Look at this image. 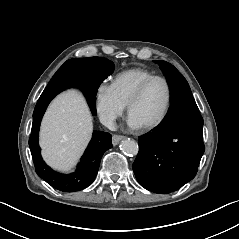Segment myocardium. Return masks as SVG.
I'll return each instance as SVG.
<instances>
[{
	"label": "myocardium",
	"mask_w": 239,
	"mask_h": 239,
	"mask_svg": "<svg viewBox=\"0 0 239 239\" xmlns=\"http://www.w3.org/2000/svg\"><path fill=\"white\" fill-rule=\"evenodd\" d=\"M163 81L166 85L167 88V101H166V105L164 108L163 113L160 115V117L155 120L152 123L146 124L142 126V129L145 131H149V130H153L157 127H159L160 125H162L164 123V121L167 119L171 107H172V101H173V92H172V87L170 82L163 76H152L148 79H146L143 83H141V85L135 90V92L132 94L128 104H127V112L129 115H131V111L133 109V107L138 103V101L141 99V97L143 96L144 92L146 91V89L149 87V85L154 82V81Z\"/></svg>",
	"instance_id": "1"
}]
</instances>
